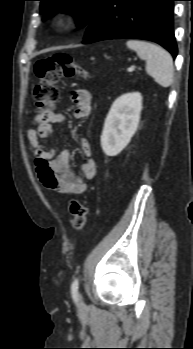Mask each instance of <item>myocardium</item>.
<instances>
[{"label":"myocardium","instance_id":"myocardium-1","mask_svg":"<svg viewBox=\"0 0 193 349\" xmlns=\"http://www.w3.org/2000/svg\"><path fill=\"white\" fill-rule=\"evenodd\" d=\"M79 14L75 9H66L56 13L52 18V25L57 29H64L78 20Z\"/></svg>","mask_w":193,"mask_h":349}]
</instances>
